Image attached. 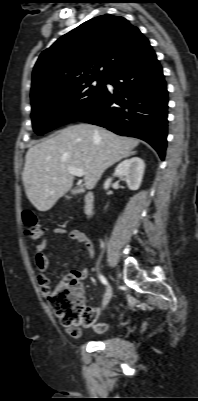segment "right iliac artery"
I'll use <instances>...</instances> for the list:
<instances>
[{
  "instance_id": "1",
  "label": "right iliac artery",
  "mask_w": 198,
  "mask_h": 401,
  "mask_svg": "<svg viewBox=\"0 0 198 401\" xmlns=\"http://www.w3.org/2000/svg\"><path fill=\"white\" fill-rule=\"evenodd\" d=\"M99 279L104 285L108 284L106 278L103 275L99 274Z\"/></svg>"
}]
</instances>
